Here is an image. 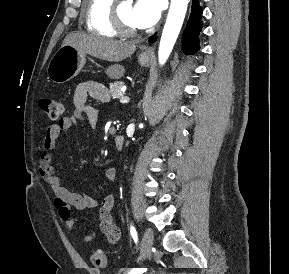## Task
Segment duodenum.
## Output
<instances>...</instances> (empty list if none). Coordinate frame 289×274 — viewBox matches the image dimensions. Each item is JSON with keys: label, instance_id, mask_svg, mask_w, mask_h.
Here are the masks:
<instances>
[{"label": "duodenum", "instance_id": "duodenum-1", "mask_svg": "<svg viewBox=\"0 0 289 274\" xmlns=\"http://www.w3.org/2000/svg\"><path fill=\"white\" fill-rule=\"evenodd\" d=\"M124 142H125L124 137H123L122 135H117V136L115 137V140H114L115 148H116L118 151L122 150L123 147H124Z\"/></svg>", "mask_w": 289, "mask_h": 274}]
</instances>
